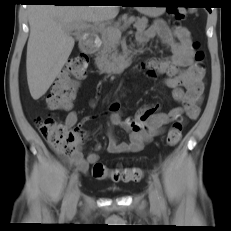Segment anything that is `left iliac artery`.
<instances>
[{
    "label": "left iliac artery",
    "mask_w": 231,
    "mask_h": 231,
    "mask_svg": "<svg viewBox=\"0 0 231 231\" xmlns=\"http://www.w3.org/2000/svg\"><path fill=\"white\" fill-rule=\"evenodd\" d=\"M151 175H152V178H153V180L155 182V185H156V188H157L159 201H160L162 206H165V198H164V195H163V191H162V187H161V184H160L159 177L155 172H152Z\"/></svg>",
    "instance_id": "left-iliac-artery-1"
}]
</instances>
